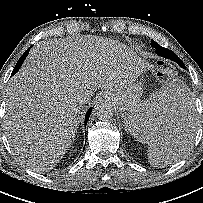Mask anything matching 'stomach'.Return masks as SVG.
<instances>
[{
	"label": "stomach",
	"mask_w": 203,
	"mask_h": 203,
	"mask_svg": "<svg viewBox=\"0 0 203 203\" xmlns=\"http://www.w3.org/2000/svg\"><path fill=\"white\" fill-rule=\"evenodd\" d=\"M143 92V85L141 83L138 84H130L120 91H116L111 96V101L114 105L120 109L124 113V120L127 129L129 130V124L131 122L130 116L134 113V111L140 107L141 105V95ZM156 124V121H154ZM141 133V131H140ZM145 140L147 137H145Z\"/></svg>",
	"instance_id": "obj_1"
}]
</instances>
